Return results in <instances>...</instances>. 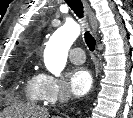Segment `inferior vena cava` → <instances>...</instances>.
<instances>
[{
    "instance_id": "602c4592",
    "label": "inferior vena cava",
    "mask_w": 133,
    "mask_h": 118,
    "mask_svg": "<svg viewBox=\"0 0 133 118\" xmlns=\"http://www.w3.org/2000/svg\"><path fill=\"white\" fill-rule=\"evenodd\" d=\"M70 98V92L69 90H61L59 94V102L60 104H63L67 102Z\"/></svg>"
}]
</instances>
